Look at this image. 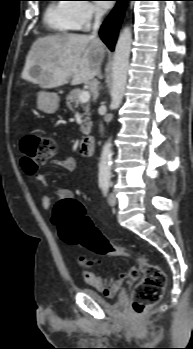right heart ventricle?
I'll list each match as a JSON object with an SVG mask.
<instances>
[{
  "instance_id": "e07e8e85",
  "label": "right heart ventricle",
  "mask_w": 193,
  "mask_h": 349,
  "mask_svg": "<svg viewBox=\"0 0 193 349\" xmlns=\"http://www.w3.org/2000/svg\"><path fill=\"white\" fill-rule=\"evenodd\" d=\"M44 20L52 31L58 33H68L78 28L71 4L64 0L50 3L46 8Z\"/></svg>"
}]
</instances>
